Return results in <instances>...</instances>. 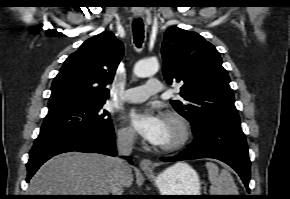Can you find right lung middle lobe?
<instances>
[{
    "label": "right lung middle lobe",
    "mask_w": 290,
    "mask_h": 199,
    "mask_svg": "<svg viewBox=\"0 0 290 199\" xmlns=\"http://www.w3.org/2000/svg\"><path fill=\"white\" fill-rule=\"evenodd\" d=\"M104 102L89 103L48 113L40 134L66 132L77 129H103L112 126Z\"/></svg>",
    "instance_id": "obj_1"
}]
</instances>
